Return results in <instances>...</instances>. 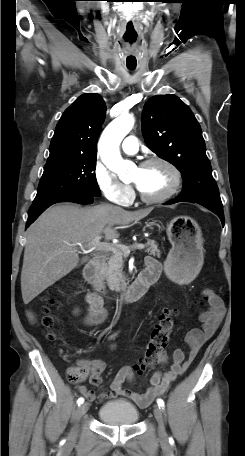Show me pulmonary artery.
<instances>
[{
	"mask_svg": "<svg viewBox=\"0 0 245 456\" xmlns=\"http://www.w3.org/2000/svg\"><path fill=\"white\" fill-rule=\"evenodd\" d=\"M121 147L125 153L135 154L139 148L138 140L135 136L130 135L123 140Z\"/></svg>",
	"mask_w": 245,
	"mask_h": 456,
	"instance_id": "pulmonary-artery-1",
	"label": "pulmonary artery"
}]
</instances>
